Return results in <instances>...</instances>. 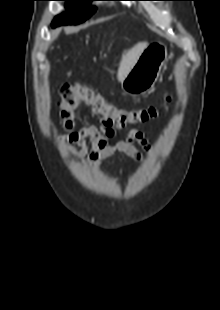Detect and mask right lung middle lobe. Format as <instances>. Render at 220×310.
<instances>
[{"label": "right lung middle lobe", "instance_id": "right-lung-middle-lobe-1", "mask_svg": "<svg viewBox=\"0 0 220 310\" xmlns=\"http://www.w3.org/2000/svg\"><path fill=\"white\" fill-rule=\"evenodd\" d=\"M66 1L67 12L56 16L52 22V27L78 24L87 20L95 11L96 7H89L92 1L97 0H62Z\"/></svg>", "mask_w": 220, "mask_h": 310}]
</instances>
